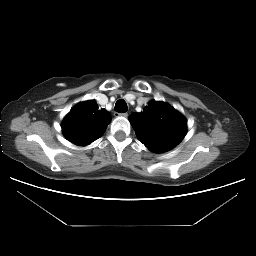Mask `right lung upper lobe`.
I'll return each mask as SVG.
<instances>
[{
	"label": "right lung upper lobe",
	"mask_w": 256,
	"mask_h": 256,
	"mask_svg": "<svg viewBox=\"0 0 256 256\" xmlns=\"http://www.w3.org/2000/svg\"><path fill=\"white\" fill-rule=\"evenodd\" d=\"M110 114L98 110L95 101L83 102L74 107L64 118L62 130L72 143L85 146L100 138L110 122Z\"/></svg>",
	"instance_id": "right-lung-upper-lobe-1"
}]
</instances>
